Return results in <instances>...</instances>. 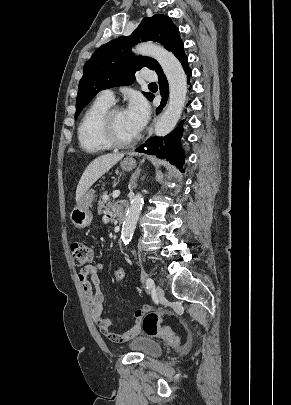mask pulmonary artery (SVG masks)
<instances>
[{
  "mask_svg": "<svg viewBox=\"0 0 291 405\" xmlns=\"http://www.w3.org/2000/svg\"><path fill=\"white\" fill-rule=\"evenodd\" d=\"M143 79L149 82L157 80V74L152 70H145L143 72ZM99 99L112 104L114 102V92L111 89L103 90L99 96Z\"/></svg>",
  "mask_w": 291,
  "mask_h": 405,
  "instance_id": "1",
  "label": "pulmonary artery"
}]
</instances>
